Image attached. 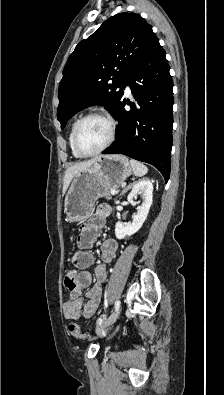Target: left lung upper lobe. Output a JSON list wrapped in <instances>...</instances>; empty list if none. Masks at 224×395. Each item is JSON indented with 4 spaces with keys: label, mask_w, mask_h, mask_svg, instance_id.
<instances>
[{
    "label": "left lung upper lobe",
    "mask_w": 224,
    "mask_h": 395,
    "mask_svg": "<svg viewBox=\"0 0 224 395\" xmlns=\"http://www.w3.org/2000/svg\"><path fill=\"white\" fill-rule=\"evenodd\" d=\"M157 40L151 25L139 14L123 12L79 42L59 85L57 118L61 128L90 105H103L113 115L123 99L129 74Z\"/></svg>",
    "instance_id": "left-lung-upper-lobe-1"
}]
</instances>
